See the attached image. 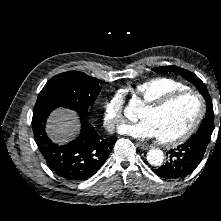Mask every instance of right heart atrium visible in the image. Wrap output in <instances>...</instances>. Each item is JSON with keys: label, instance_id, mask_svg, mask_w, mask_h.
Here are the masks:
<instances>
[{"label": "right heart atrium", "instance_id": "d8ad5b80", "mask_svg": "<svg viewBox=\"0 0 221 221\" xmlns=\"http://www.w3.org/2000/svg\"><path fill=\"white\" fill-rule=\"evenodd\" d=\"M124 97L115 92L104 104L103 121L109 131H115L124 122Z\"/></svg>", "mask_w": 221, "mask_h": 221}]
</instances>
